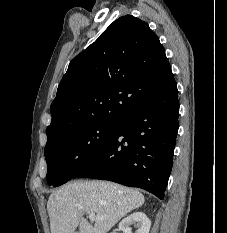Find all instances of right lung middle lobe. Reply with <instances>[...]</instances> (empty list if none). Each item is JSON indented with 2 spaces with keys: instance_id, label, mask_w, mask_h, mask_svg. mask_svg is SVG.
Instances as JSON below:
<instances>
[{
  "instance_id": "1",
  "label": "right lung middle lobe",
  "mask_w": 227,
  "mask_h": 233,
  "mask_svg": "<svg viewBox=\"0 0 227 233\" xmlns=\"http://www.w3.org/2000/svg\"><path fill=\"white\" fill-rule=\"evenodd\" d=\"M118 123L91 122L48 140L44 150L48 184L57 187L73 178L114 135Z\"/></svg>"
}]
</instances>
